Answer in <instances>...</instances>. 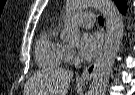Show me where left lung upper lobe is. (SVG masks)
<instances>
[{"label": "left lung upper lobe", "mask_w": 135, "mask_h": 95, "mask_svg": "<svg viewBox=\"0 0 135 95\" xmlns=\"http://www.w3.org/2000/svg\"><path fill=\"white\" fill-rule=\"evenodd\" d=\"M118 8L126 7L125 0H114Z\"/></svg>", "instance_id": "obj_1"}]
</instances>
